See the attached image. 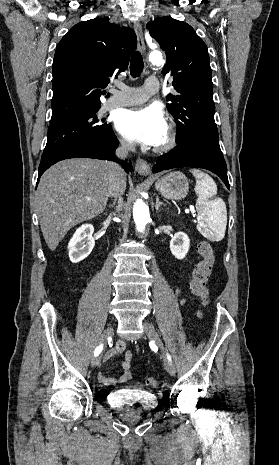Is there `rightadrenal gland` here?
<instances>
[{"mask_svg":"<svg viewBox=\"0 0 279 465\" xmlns=\"http://www.w3.org/2000/svg\"><path fill=\"white\" fill-rule=\"evenodd\" d=\"M113 205H115V201L113 202V204H110L108 207H113Z\"/></svg>","mask_w":279,"mask_h":465,"instance_id":"2a0ac1e0","label":"right adrenal gland"}]
</instances>
